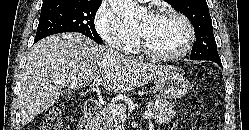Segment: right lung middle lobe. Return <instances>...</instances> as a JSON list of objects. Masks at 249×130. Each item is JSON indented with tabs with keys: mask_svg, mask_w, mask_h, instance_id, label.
<instances>
[{
	"mask_svg": "<svg viewBox=\"0 0 249 130\" xmlns=\"http://www.w3.org/2000/svg\"><path fill=\"white\" fill-rule=\"evenodd\" d=\"M102 2L60 0L44 4L41 8L35 42L52 34L79 32L102 43L96 32L94 18Z\"/></svg>",
	"mask_w": 249,
	"mask_h": 130,
	"instance_id": "dd1d6c3e",
	"label": "right lung middle lobe"
}]
</instances>
